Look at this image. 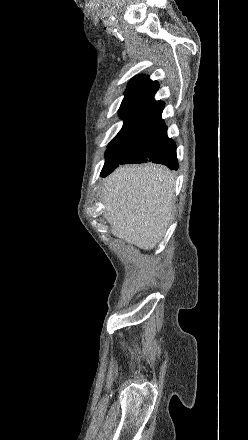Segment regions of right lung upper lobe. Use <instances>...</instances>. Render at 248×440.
I'll return each mask as SVG.
<instances>
[{"mask_svg": "<svg viewBox=\"0 0 248 440\" xmlns=\"http://www.w3.org/2000/svg\"><path fill=\"white\" fill-rule=\"evenodd\" d=\"M158 89L159 84L151 81L145 75H138L129 82L125 98L119 109V115L124 119V125L118 134L135 131L162 112L164 103L154 100Z\"/></svg>", "mask_w": 248, "mask_h": 440, "instance_id": "cb5924a9", "label": "right lung upper lobe"}]
</instances>
